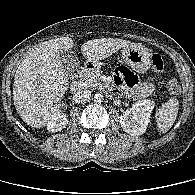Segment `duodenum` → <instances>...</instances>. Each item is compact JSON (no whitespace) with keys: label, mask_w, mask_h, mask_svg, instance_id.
<instances>
[{"label":"duodenum","mask_w":195,"mask_h":195,"mask_svg":"<svg viewBox=\"0 0 195 195\" xmlns=\"http://www.w3.org/2000/svg\"><path fill=\"white\" fill-rule=\"evenodd\" d=\"M94 69H95V65L94 64L89 63V64L85 65V67L83 68V70H82L79 78H81L83 74H86L88 72H91ZM80 89H81V81H80V79H78V80H76V81H74L72 83V85H71V91L73 93H77L78 91H80Z\"/></svg>","instance_id":"obj_1"}]
</instances>
